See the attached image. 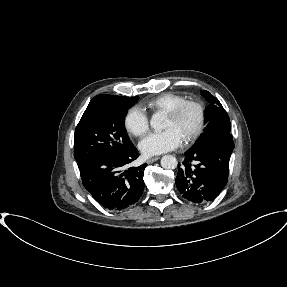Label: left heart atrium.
<instances>
[{
  "label": "left heart atrium",
  "mask_w": 287,
  "mask_h": 287,
  "mask_svg": "<svg viewBox=\"0 0 287 287\" xmlns=\"http://www.w3.org/2000/svg\"><path fill=\"white\" fill-rule=\"evenodd\" d=\"M183 137L173 127L161 132H154L145 137L139 144L140 150L147 156L171 151L183 143Z\"/></svg>",
  "instance_id": "obj_1"
}]
</instances>
